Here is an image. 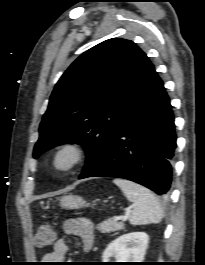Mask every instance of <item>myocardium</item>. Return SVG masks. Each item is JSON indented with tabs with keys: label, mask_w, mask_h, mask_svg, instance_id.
I'll list each match as a JSON object with an SVG mask.
<instances>
[{
	"label": "myocardium",
	"mask_w": 205,
	"mask_h": 265,
	"mask_svg": "<svg viewBox=\"0 0 205 265\" xmlns=\"http://www.w3.org/2000/svg\"><path fill=\"white\" fill-rule=\"evenodd\" d=\"M68 156L65 163H61L60 159L63 156ZM87 157V150L85 146L74 140L65 141L57 145L49 159V166L51 170L58 174H68L78 168Z\"/></svg>",
	"instance_id": "f54148a6"
}]
</instances>
